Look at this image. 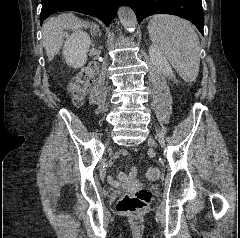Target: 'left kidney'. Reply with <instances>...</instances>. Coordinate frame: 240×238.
<instances>
[{"mask_svg": "<svg viewBox=\"0 0 240 238\" xmlns=\"http://www.w3.org/2000/svg\"><path fill=\"white\" fill-rule=\"evenodd\" d=\"M149 56L152 63L166 76H173V70L165 55L154 45L149 48Z\"/></svg>", "mask_w": 240, "mask_h": 238, "instance_id": "5707ae66", "label": "left kidney"}]
</instances>
